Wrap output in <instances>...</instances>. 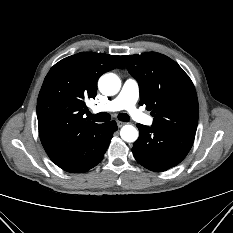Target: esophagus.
Wrapping results in <instances>:
<instances>
[{
	"label": "esophagus",
	"mask_w": 233,
	"mask_h": 233,
	"mask_svg": "<svg viewBox=\"0 0 233 233\" xmlns=\"http://www.w3.org/2000/svg\"><path fill=\"white\" fill-rule=\"evenodd\" d=\"M116 123L119 128L126 124L125 122H122V121H117Z\"/></svg>",
	"instance_id": "obj_1"
}]
</instances>
